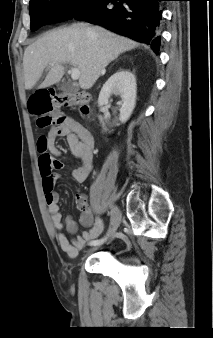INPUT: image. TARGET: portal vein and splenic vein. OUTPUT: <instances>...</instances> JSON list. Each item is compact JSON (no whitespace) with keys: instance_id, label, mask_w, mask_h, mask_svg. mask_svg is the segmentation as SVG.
I'll list each match as a JSON object with an SVG mask.
<instances>
[{"instance_id":"portal-vein-and-splenic-vein-1","label":"portal vein and splenic vein","mask_w":213,"mask_h":338,"mask_svg":"<svg viewBox=\"0 0 213 338\" xmlns=\"http://www.w3.org/2000/svg\"><path fill=\"white\" fill-rule=\"evenodd\" d=\"M80 77V71L78 68H71V78L73 80H78Z\"/></svg>"}]
</instances>
